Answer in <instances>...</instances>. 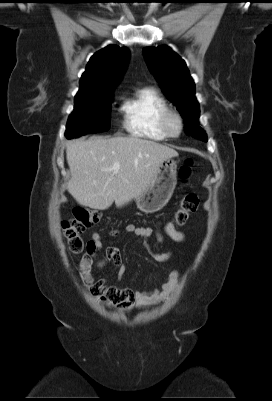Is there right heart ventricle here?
Instances as JSON below:
<instances>
[{"label":"right heart ventricle","instance_id":"right-heart-ventricle-1","mask_svg":"<svg viewBox=\"0 0 272 401\" xmlns=\"http://www.w3.org/2000/svg\"><path fill=\"white\" fill-rule=\"evenodd\" d=\"M164 97L152 87L137 89L122 105L123 124L133 136L156 141L169 138L162 126V116L168 110Z\"/></svg>","mask_w":272,"mask_h":401}]
</instances>
